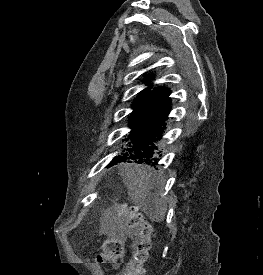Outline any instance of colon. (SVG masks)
<instances>
[{
    "label": "colon",
    "instance_id": "1",
    "mask_svg": "<svg viewBox=\"0 0 263 275\" xmlns=\"http://www.w3.org/2000/svg\"><path fill=\"white\" fill-rule=\"evenodd\" d=\"M118 215L124 220L133 240L131 260L120 275H143L152 245V226L139 211L124 205L118 206ZM124 253L123 242L112 238L103 243L102 252L97 255L96 260L99 264L114 269L118 262L123 259Z\"/></svg>",
    "mask_w": 263,
    "mask_h": 275
}]
</instances>
